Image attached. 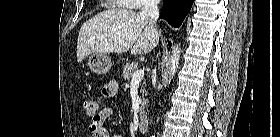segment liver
Here are the masks:
<instances>
[{
    "instance_id": "6515ba94",
    "label": "liver",
    "mask_w": 280,
    "mask_h": 137,
    "mask_svg": "<svg viewBox=\"0 0 280 137\" xmlns=\"http://www.w3.org/2000/svg\"><path fill=\"white\" fill-rule=\"evenodd\" d=\"M158 31L139 12L109 9L98 13L80 28L77 61L91 53L146 54L159 43Z\"/></svg>"
}]
</instances>
